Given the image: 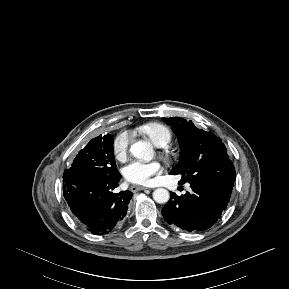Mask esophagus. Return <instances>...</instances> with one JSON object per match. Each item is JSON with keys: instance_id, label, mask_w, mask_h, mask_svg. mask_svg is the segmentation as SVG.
Segmentation results:
<instances>
[{"instance_id": "34e87169", "label": "esophagus", "mask_w": 289, "mask_h": 289, "mask_svg": "<svg viewBox=\"0 0 289 289\" xmlns=\"http://www.w3.org/2000/svg\"><path fill=\"white\" fill-rule=\"evenodd\" d=\"M147 188L143 187V186H138V185H133L131 186V191L132 192H137V191H140V190H145Z\"/></svg>"}]
</instances>
